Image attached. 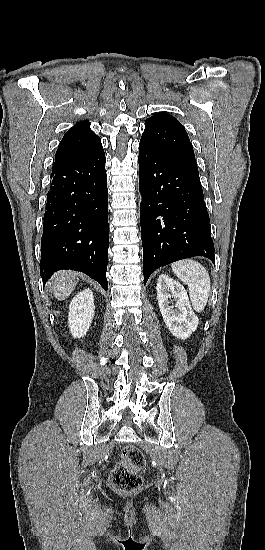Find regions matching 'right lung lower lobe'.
<instances>
[{
  "label": "right lung lower lobe",
  "instance_id": "98d812e1",
  "mask_svg": "<svg viewBox=\"0 0 265 550\" xmlns=\"http://www.w3.org/2000/svg\"><path fill=\"white\" fill-rule=\"evenodd\" d=\"M104 151L54 164L41 240L40 273L81 271L105 290L109 244Z\"/></svg>",
  "mask_w": 265,
  "mask_h": 550
}]
</instances>
